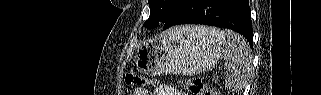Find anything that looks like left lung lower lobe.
I'll return each mask as SVG.
<instances>
[{"label":"left lung lower lobe","instance_id":"left-lung-lower-lobe-1","mask_svg":"<svg viewBox=\"0 0 321 95\" xmlns=\"http://www.w3.org/2000/svg\"><path fill=\"white\" fill-rule=\"evenodd\" d=\"M180 24H204L234 30L252 46L249 0H180L164 30Z\"/></svg>","mask_w":321,"mask_h":95}]
</instances>
